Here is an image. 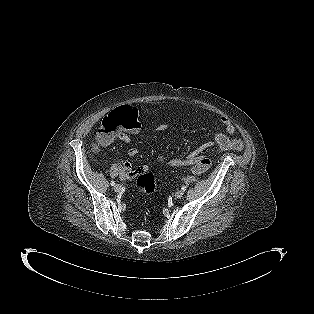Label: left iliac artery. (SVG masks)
Returning a JSON list of instances; mask_svg holds the SVG:
<instances>
[{
  "mask_svg": "<svg viewBox=\"0 0 314 314\" xmlns=\"http://www.w3.org/2000/svg\"><path fill=\"white\" fill-rule=\"evenodd\" d=\"M186 188H187L186 186H182V188H181V189H182L183 191H185V190H186Z\"/></svg>",
  "mask_w": 314,
  "mask_h": 314,
  "instance_id": "obj_1",
  "label": "left iliac artery"
}]
</instances>
